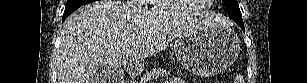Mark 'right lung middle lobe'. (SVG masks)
Masks as SVG:
<instances>
[{
  "mask_svg": "<svg viewBox=\"0 0 307 83\" xmlns=\"http://www.w3.org/2000/svg\"><path fill=\"white\" fill-rule=\"evenodd\" d=\"M94 0H67V5L65 9H68L72 5H79V4H88L93 2Z\"/></svg>",
  "mask_w": 307,
  "mask_h": 83,
  "instance_id": "1",
  "label": "right lung middle lobe"
}]
</instances>
